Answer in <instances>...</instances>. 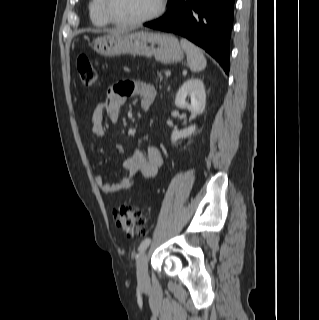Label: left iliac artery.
I'll use <instances>...</instances> for the list:
<instances>
[{
	"label": "left iliac artery",
	"mask_w": 319,
	"mask_h": 320,
	"mask_svg": "<svg viewBox=\"0 0 319 320\" xmlns=\"http://www.w3.org/2000/svg\"><path fill=\"white\" fill-rule=\"evenodd\" d=\"M150 242H151V239L149 237L145 238L141 242V244H140V246L138 248L139 252L143 253L147 249V247L149 246Z\"/></svg>",
	"instance_id": "1"
}]
</instances>
